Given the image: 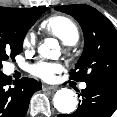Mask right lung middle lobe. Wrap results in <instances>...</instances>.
I'll return each mask as SVG.
<instances>
[{
	"label": "right lung middle lobe",
	"instance_id": "obj_1",
	"mask_svg": "<svg viewBox=\"0 0 117 117\" xmlns=\"http://www.w3.org/2000/svg\"><path fill=\"white\" fill-rule=\"evenodd\" d=\"M48 9V7L39 6L22 12L0 7V69L2 61L7 60L8 57L14 59L21 52L27 31Z\"/></svg>",
	"mask_w": 117,
	"mask_h": 117
}]
</instances>
